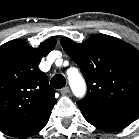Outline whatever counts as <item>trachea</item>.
<instances>
[{
    "instance_id": "obj_1",
    "label": "trachea",
    "mask_w": 139,
    "mask_h": 139,
    "mask_svg": "<svg viewBox=\"0 0 139 139\" xmlns=\"http://www.w3.org/2000/svg\"><path fill=\"white\" fill-rule=\"evenodd\" d=\"M50 84L56 89H61L66 84L65 77L62 74H56L52 77Z\"/></svg>"
}]
</instances>
